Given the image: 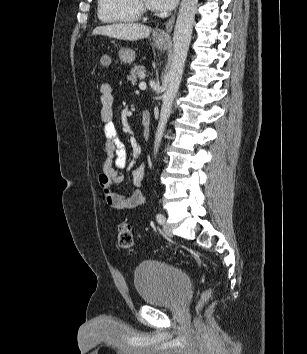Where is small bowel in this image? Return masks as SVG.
I'll return each instance as SVG.
<instances>
[{
    "mask_svg": "<svg viewBox=\"0 0 307 354\" xmlns=\"http://www.w3.org/2000/svg\"><path fill=\"white\" fill-rule=\"evenodd\" d=\"M100 118L103 122L104 149L106 159L99 174V184L102 189L105 201L115 209L129 210L142 206L145 196L139 189L143 183L145 166L140 165L132 172V182L136 189L131 193L123 195L113 191V184L123 181L120 172L127 164V151L121 141L118 130L113 122L114 96L109 82L103 81L100 85ZM147 136L148 133L145 132Z\"/></svg>",
    "mask_w": 307,
    "mask_h": 354,
    "instance_id": "obj_1",
    "label": "small bowel"
}]
</instances>
